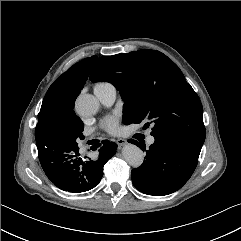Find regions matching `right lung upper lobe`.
Instances as JSON below:
<instances>
[{"mask_svg":"<svg viewBox=\"0 0 241 241\" xmlns=\"http://www.w3.org/2000/svg\"><path fill=\"white\" fill-rule=\"evenodd\" d=\"M97 56L86 58L63 73L48 89L38 114L35 139H44L51 129L48 116L59 112H74V102L84 87ZM75 113V112H74Z\"/></svg>","mask_w":241,"mask_h":241,"instance_id":"right-lung-upper-lobe-1","label":"right lung upper lobe"}]
</instances>
